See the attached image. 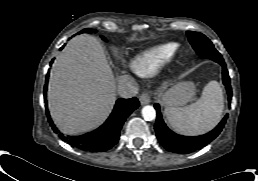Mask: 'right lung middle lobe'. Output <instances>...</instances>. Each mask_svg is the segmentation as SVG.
I'll use <instances>...</instances> for the list:
<instances>
[{
    "instance_id": "right-lung-middle-lobe-1",
    "label": "right lung middle lobe",
    "mask_w": 258,
    "mask_h": 181,
    "mask_svg": "<svg viewBox=\"0 0 258 181\" xmlns=\"http://www.w3.org/2000/svg\"><path fill=\"white\" fill-rule=\"evenodd\" d=\"M93 31H95V30H92V29H84V30H82L81 32H79V34H80V33H92ZM102 39H103V40H106L105 37H102Z\"/></svg>"
}]
</instances>
